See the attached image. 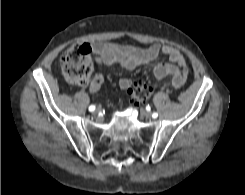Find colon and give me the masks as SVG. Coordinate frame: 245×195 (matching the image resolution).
<instances>
[{"label":"colon","instance_id":"colon-1","mask_svg":"<svg viewBox=\"0 0 245 195\" xmlns=\"http://www.w3.org/2000/svg\"><path fill=\"white\" fill-rule=\"evenodd\" d=\"M93 70L90 51L86 45H74L67 49L62 56V72L65 78L74 84H86ZM152 84L137 80L130 90V103H144L152 94Z\"/></svg>","mask_w":245,"mask_h":195}]
</instances>
